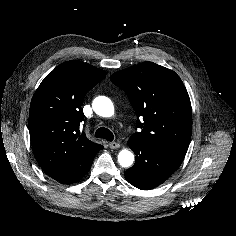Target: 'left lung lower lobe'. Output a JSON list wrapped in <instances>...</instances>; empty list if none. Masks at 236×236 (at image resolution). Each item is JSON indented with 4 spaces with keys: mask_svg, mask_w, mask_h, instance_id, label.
Masks as SVG:
<instances>
[{
    "mask_svg": "<svg viewBox=\"0 0 236 236\" xmlns=\"http://www.w3.org/2000/svg\"><path fill=\"white\" fill-rule=\"evenodd\" d=\"M128 145L136 154V161L132 168L125 171V177L141 190H149L162 184L184 158L173 151L139 141L129 140Z\"/></svg>",
    "mask_w": 236,
    "mask_h": 236,
    "instance_id": "0a47b994",
    "label": "left lung lower lobe"
}]
</instances>
